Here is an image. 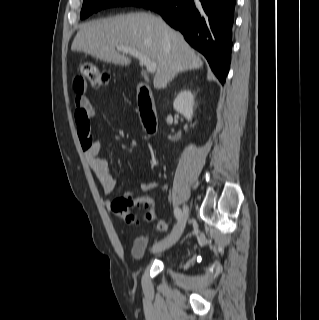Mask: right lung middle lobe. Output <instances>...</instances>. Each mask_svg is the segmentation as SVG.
I'll list each match as a JSON object with an SVG mask.
<instances>
[{
  "label": "right lung middle lobe",
  "mask_w": 319,
  "mask_h": 320,
  "mask_svg": "<svg viewBox=\"0 0 319 320\" xmlns=\"http://www.w3.org/2000/svg\"><path fill=\"white\" fill-rule=\"evenodd\" d=\"M151 1L152 0H83L80 17L84 19L94 12L114 6L133 5L141 7Z\"/></svg>",
  "instance_id": "1"
}]
</instances>
